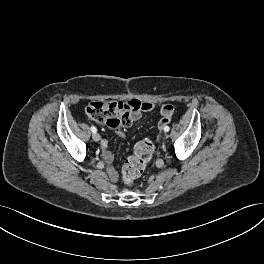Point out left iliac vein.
<instances>
[{"mask_svg":"<svg viewBox=\"0 0 264 264\" xmlns=\"http://www.w3.org/2000/svg\"><path fill=\"white\" fill-rule=\"evenodd\" d=\"M165 139H170V134H165Z\"/></svg>","mask_w":264,"mask_h":264,"instance_id":"1","label":"left iliac vein"}]
</instances>
